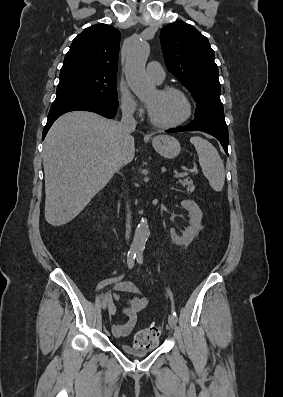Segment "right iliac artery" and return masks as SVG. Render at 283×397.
I'll return each mask as SVG.
<instances>
[{"label": "right iliac artery", "instance_id": "right-iliac-artery-1", "mask_svg": "<svg viewBox=\"0 0 283 397\" xmlns=\"http://www.w3.org/2000/svg\"><path fill=\"white\" fill-rule=\"evenodd\" d=\"M136 255H137V251H135V250H130V251L128 252V255H127V264H128V267H129L130 269L134 266V260H135ZM122 278H123V275H121V276L118 277V278L107 279V280H105L102 284L99 285V288H102V287H104L105 285H108V284H111V283H115V282H117L118 280H121ZM97 292H100V289H97Z\"/></svg>", "mask_w": 283, "mask_h": 397}]
</instances>
